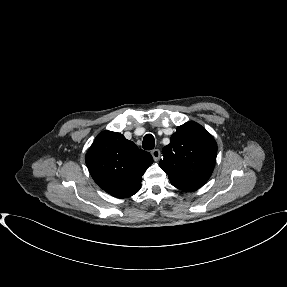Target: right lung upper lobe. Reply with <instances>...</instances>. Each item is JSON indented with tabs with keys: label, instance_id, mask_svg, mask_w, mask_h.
Returning a JSON list of instances; mask_svg holds the SVG:
<instances>
[{
	"label": "right lung upper lobe",
	"instance_id": "right-lung-upper-lobe-1",
	"mask_svg": "<svg viewBox=\"0 0 287 287\" xmlns=\"http://www.w3.org/2000/svg\"><path fill=\"white\" fill-rule=\"evenodd\" d=\"M87 167L94 181L107 193L126 198L137 193L152 156L122 134L103 131L89 148Z\"/></svg>",
	"mask_w": 287,
	"mask_h": 287
}]
</instances>
